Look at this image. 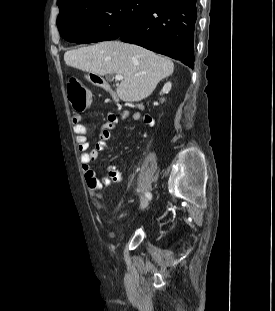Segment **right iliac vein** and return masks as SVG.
Here are the masks:
<instances>
[{
    "label": "right iliac vein",
    "mask_w": 275,
    "mask_h": 311,
    "mask_svg": "<svg viewBox=\"0 0 275 311\" xmlns=\"http://www.w3.org/2000/svg\"><path fill=\"white\" fill-rule=\"evenodd\" d=\"M147 205H148V201L144 199V200L141 202L140 209L143 210Z\"/></svg>",
    "instance_id": "63e3f726"
}]
</instances>
